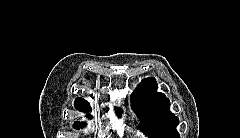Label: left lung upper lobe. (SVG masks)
Returning <instances> with one entry per match:
<instances>
[{
  "mask_svg": "<svg viewBox=\"0 0 240 138\" xmlns=\"http://www.w3.org/2000/svg\"><path fill=\"white\" fill-rule=\"evenodd\" d=\"M153 77L143 79L131 94V104L140 120L139 128L151 138H180L179 119L170 112V101L157 92Z\"/></svg>",
  "mask_w": 240,
  "mask_h": 138,
  "instance_id": "obj_1",
  "label": "left lung upper lobe"
}]
</instances>
